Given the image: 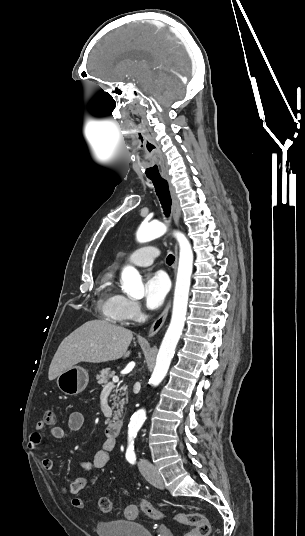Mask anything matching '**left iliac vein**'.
<instances>
[{
	"label": "left iliac vein",
	"mask_w": 305,
	"mask_h": 536,
	"mask_svg": "<svg viewBox=\"0 0 305 536\" xmlns=\"http://www.w3.org/2000/svg\"><path fill=\"white\" fill-rule=\"evenodd\" d=\"M140 470L152 485L159 489L164 488L162 477L154 466H141Z\"/></svg>",
	"instance_id": "1"
}]
</instances>
